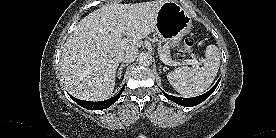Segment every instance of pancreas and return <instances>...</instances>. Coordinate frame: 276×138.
<instances>
[{
	"mask_svg": "<svg viewBox=\"0 0 276 138\" xmlns=\"http://www.w3.org/2000/svg\"><path fill=\"white\" fill-rule=\"evenodd\" d=\"M158 52L163 54L169 60H171V55H170V50L168 45L161 46V42H160Z\"/></svg>",
	"mask_w": 276,
	"mask_h": 138,
	"instance_id": "pancreas-1",
	"label": "pancreas"
}]
</instances>
